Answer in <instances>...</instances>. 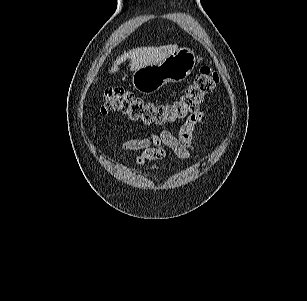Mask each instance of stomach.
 Here are the masks:
<instances>
[{
  "instance_id": "stomach-1",
  "label": "stomach",
  "mask_w": 307,
  "mask_h": 301,
  "mask_svg": "<svg viewBox=\"0 0 307 301\" xmlns=\"http://www.w3.org/2000/svg\"><path fill=\"white\" fill-rule=\"evenodd\" d=\"M197 62L192 50L185 47L177 49L162 62L136 70L132 76L133 87L143 94L154 93L169 82L185 80Z\"/></svg>"
}]
</instances>
